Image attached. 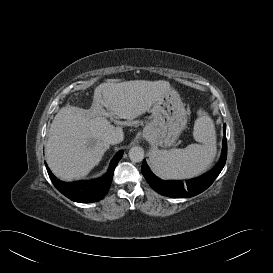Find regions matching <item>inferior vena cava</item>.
I'll return each mask as SVG.
<instances>
[{
  "instance_id": "obj_1",
  "label": "inferior vena cava",
  "mask_w": 273,
  "mask_h": 273,
  "mask_svg": "<svg viewBox=\"0 0 273 273\" xmlns=\"http://www.w3.org/2000/svg\"><path fill=\"white\" fill-rule=\"evenodd\" d=\"M123 131L120 128H116L109 136L108 140L111 144H118L123 141Z\"/></svg>"
}]
</instances>
